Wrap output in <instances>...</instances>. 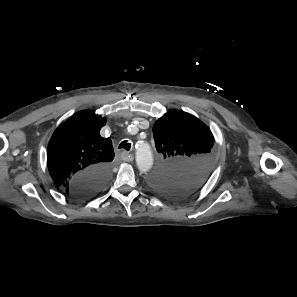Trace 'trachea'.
I'll use <instances>...</instances> for the list:
<instances>
[{
    "instance_id": "3493384b",
    "label": "trachea",
    "mask_w": 297,
    "mask_h": 297,
    "mask_svg": "<svg viewBox=\"0 0 297 297\" xmlns=\"http://www.w3.org/2000/svg\"><path fill=\"white\" fill-rule=\"evenodd\" d=\"M131 148V143H129L128 141H122L120 144H119V149H125L127 151H129Z\"/></svg>"
}]
</instances>
